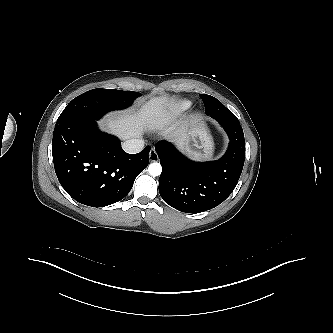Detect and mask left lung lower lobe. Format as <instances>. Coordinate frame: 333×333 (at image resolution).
Returning <instances> with one entry per match:
<instances>
[{
  "label": "left lung lower lobe",
  "instance_id": "0a47b994",
  "mask_svg": "<svg viewBox=\"0 0 333 333\" xmlns=\"http://www.w3.org/2000/svg\"><path fill=\"white\" fill-rule=\"evenodd\" d=\"M212 118L225 129L230 140L226 153L219 160L192 161L168 141L155 146L162 165L159 193L166 203L179 211L200 213L218 206L232 193L241 175L245 141L240 122L221 116Z\"/></svg>",
  "mask_w": 333,
  "mask_h": 333
}]
</instances>
